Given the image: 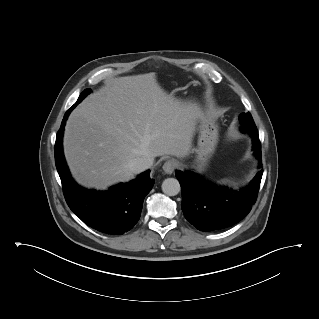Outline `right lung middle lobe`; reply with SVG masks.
Segmentation results:
<instances>
[{
    "instance_id": "obj_1",
    "label": "right lung middle lobe",
    "mask_w": 319,
    "mask_h": 319,
    "mask_svg": "<svg viewBox=\"0 0 319 319\" xmlns=\"http://www.w3.org/2000/svg\"><path fill=\"white\" fill-rule=\"evenodd\" d=\"M88 93H90V89L84 90V91L80 94V96H79L77 102L79 103Z\"/></svg>"
}]
</instances>
